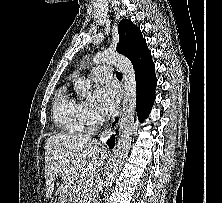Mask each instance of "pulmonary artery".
<instances>
[{"label":"pulmonary artery","instance_id":"pulmonary-artery-1","mask_svg":"<svg viewBox=\"0 0 222 203\" xmlns=\"http://www.w3.org/2000/svg\"><path fill=\"white\" fill-rule=\"evenodd\" d=\"M90 77L96 83H105L112 77V68L108 65L97 66L91 70Z\"/></svg>","mask_w":222,"mask_h":203}]
</instances>
